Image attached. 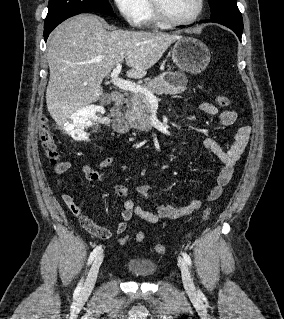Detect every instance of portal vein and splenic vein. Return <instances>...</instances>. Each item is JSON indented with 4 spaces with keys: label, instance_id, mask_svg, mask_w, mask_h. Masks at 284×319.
Instances as JSON below:
<instances>
[{
    "label": "portal vein and splenic vein",
    "instance_id": "1",
    "mask_svg": "<svg viewBox=\"0 0 284 319\" xmlns=\"http://www.w3.org/2000/svg\"><path fill=\"white\" fill-rule=\"evenodd\" d=\"M121 69H122V65L119 63L116 65V67L113 69V71L111 73L112 83L116 87H118L119 89L125 90V91L142 93L145 95L146 99L150 103L158 101L157 97L153 93H151L149 90H147L146 88H144L140 85H137L131 81H127V80H123V79L119 78L118 76L121 72Z\"/></svg>",
    "mask_w": 284,
    "mask_h": 319
}]
</instances>
